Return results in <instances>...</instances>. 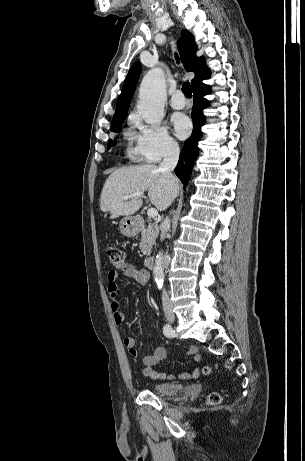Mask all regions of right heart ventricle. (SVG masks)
Instances as JSON below:
<instances>
[{"label": "right heart ventricle", "mask_w": 305, "mask_h": 461, "mask_svg": "<svg viewBox=\"0 0 305 461\" xmlns=\"http://www.w3.org/2000/svg\"><path fill=\"white\" fill-rule=\"evenodd\" d=\"M129 153L132 154V150H131V149L129 150Z\"/></svg>", "instance_id": "e07e8e85"}]
</instances>
